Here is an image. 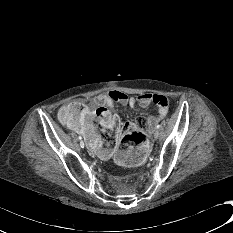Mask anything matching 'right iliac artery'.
I'll return each mask as SVG.
<instances>
[{"label": "right iliac artery", "instance_id": "82829eb1", "mask_svg": "<svg viewBox=\"0 0 233 233\" xmlns=\"http://www.w3.org/2000/svg\"><path fill=\"white\" fill-rule=\"evenodd\" d=\"M79 139L81 140L82 139V137L81 136H79ZM82 148H84V145H80Z\"/></svg>", "mask_w": 233, "mask_h": 233}]
</instances>
